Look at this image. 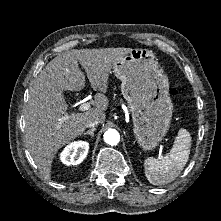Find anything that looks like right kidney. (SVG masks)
I'll list each match as a JSON object with an SVG mask.
<instances>
[{"label":"right kidney","instance_id":"obj_1","mask_svg":"<svg viewBox=\"0 0 221 221\" xmlns=\"http://www.w3.org/2000/svg\"><path fill=\"white\" fill-rule=\"evenodd\" d=\"M89 143L86 141H74L67 145L60 154V160L65 165L80 164L87 156Z\"/></svg>","mask_w":221,"mask_h":221}]
</instances>
